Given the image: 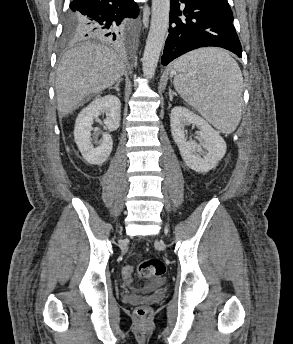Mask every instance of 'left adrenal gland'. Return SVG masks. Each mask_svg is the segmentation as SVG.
<instances>
[{"label":"left adrenal gland","instance_id":"a2214340","mask_svg":"<svg viewBox=\"0 0 293 344\" xmlns=\"http://www.w3.org/2000/svg\"><path fill=\"white\" fill-rule=\"evenodd\" d=\"M177 96V94L175 92H173L171 89H169V97H170V101L173 100V96Z\"/></svg>","mask_w":293,"mask_h":344}]
</instances>
